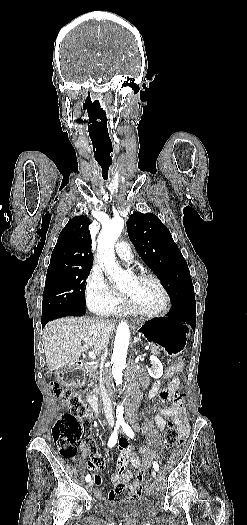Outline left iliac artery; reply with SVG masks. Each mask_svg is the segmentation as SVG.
Here are the masks:
<instances>
[{
    "mask_svg": "<svg viewBox=\"0 0 247 525\" xmlns=\"http://www.w3.org/2000/svg\"><path fill=\"white\" fill-rule=\"evenodd\" d=\"M121 426H122V429H123L124 433L127 436H129L130 438L134 437V432H133V430L131 429V427L128 424H126L125 422H122ZM153 468L155 469V471L159 470V465H158V463L156 461L153 462Z\"/></svg>",
    "mask_w": 247,
    "mask_h": 525,
    "instance_id": "obj_1",
    "label": "left iliac artery"
}]
</instances>
